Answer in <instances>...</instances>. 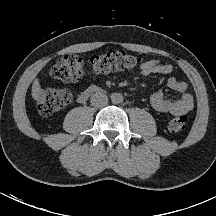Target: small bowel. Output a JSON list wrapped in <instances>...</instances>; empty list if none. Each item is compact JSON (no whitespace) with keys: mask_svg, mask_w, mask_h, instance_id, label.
<instances>
[{"mask_svg":"<svg viewBox=\"0 0 216 216\" xmlns=\"http://www.w3.org/2000/svg\"><path fill=\"white\" fill-rule=\"evenodd\" d=\"M140 71L141 74L145 76L152 74L169 75L167 86L181 94L177 99H167L163 92L154 93L150 97V105L154 110L171 115H181L186 114L193 109L194 99L189 92L188 84L171 76L174 71V67L171 64H164L159 60L151 59L141 65ZM78 100L79 102H84L86 99H82L79 96Z\"/></svg>","mask_w":216,"mask_h":216,"instance_id":"small-bowel-1","label":"small bowel"}]
</instances>
